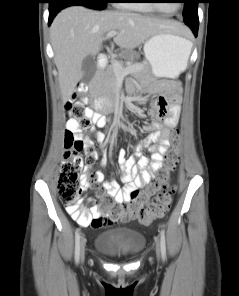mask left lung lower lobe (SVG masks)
Returning a JSON list of instances; mask_svg holds the SVG:
<instances>
[{
    "label": "left lung lower lobe",
    "instance_id": "left-lung-lower-lobe-1",
    "mask_svg": "<svg viewBox=\"0 0 239 296\" xmlns=\"http://www.w3.org/2000/svg\"><path fill=\"white\" fill-rule=\"evenodd\" d=\"M187 25L192 29L194 35L197 36L199 22H191V23H188Z\"/></svg>",
    "mask_w": 239,
    "mask_h": 296
}]
</instances>
